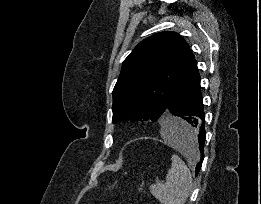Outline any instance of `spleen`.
Masks as SVG:
<instances>
[{"label": "spleen", "mask_w": 261, "mask_h": 204, "mask_svg": "<svg viewBox=\"0 0 261 204\" xmlns=\"http://www.w3.org/2000/svg\"><path fill=\"white\" fill-rule=\"evenodd\" d=\"M164 122L166 125L161 134L166 144L183 152H188V148L192 147L198 154L196 138L188 143L183 142L176 139L169 131V122L182 123L181 119L171 116L170 119L166 118ZM171 161L172 164L166 175V182L151 185L150 192L161 204H185L192 187L191 173L178 155H172Z\"/></svg>", "instance_id": "3e777b00"}]
</instances>
